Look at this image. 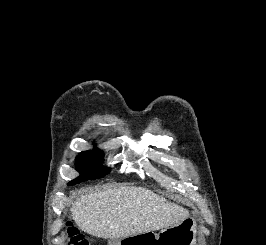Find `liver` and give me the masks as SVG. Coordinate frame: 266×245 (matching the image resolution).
Masks as SVG:
<instances>
[{"instance_id":"6515ba94","label":"liver","mask_w":266,"mask_h":245,"mask_svg":"<svg viewBox=\"0 0 266 245\" xmlns=\"http://www.w3.org/2000/svg\"><path fill=\"white\" fill-rule=\"evenodd\" d=\"M77 227L92 237L125 239L159 231L187 219V209L143 187H106L78 197L71 209Z\"/></svg>"}]
</instances>
